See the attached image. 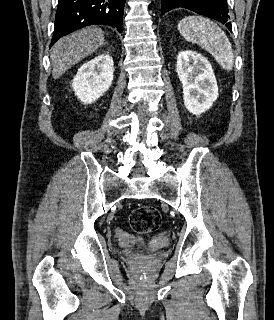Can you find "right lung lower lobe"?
Here are the masks:
<instances>
[{"label": "right lung lower lobe", "mask_w": 274, "mask_h": 320, "mask_svg": "<svg viewBox=\"0 0 274 320\" xmlns=\"http://www.w3.org/2000/svg\"><path fill=\"white\" fill-rule=\"evenodd\" d=\"M126 0H59L51 46L61 37L89 25H109L122 32Z\"/></svg>", "instance_id": "1"}]
</instances>
